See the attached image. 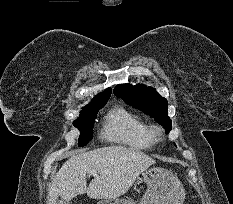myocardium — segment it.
Returning <instances> with one entry per match:
<instances>
[{
    "label": "myocardium",
    "mask_w": 233,
    "mask_h": 204,
    "mask_svg": "<svg viewBox=\"0 0 233 204\" xmlns=\"http://www.w3.org/2000/svg\"><path fill=\"white\" fill-rule=\"evenodd\" d=\"M151 135L154 140H160L162 136V131L158 127H151L150 128Z\"/></svg>",
    "instance_id": "f54148a6"
}]
</instances>
